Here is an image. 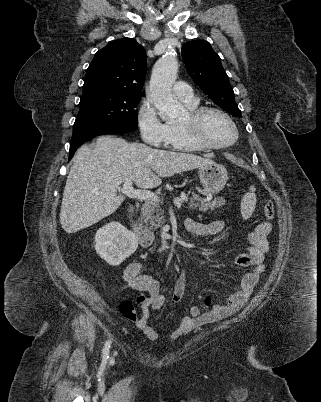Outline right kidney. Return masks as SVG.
Segmentation results:
<instances>
[{"instance_id":"obj_1","label":"right kidney","mask_w":321,"mask_h":402,"mask_svg":"<svg viewBox=\"0 0 321 402\" xmlns=\"http://www.w3.org/2000/svg\"><path fill=\"white\" fill-rule=\"evenodd\" d=\"M97 254L111 266L120 265L138 247L136 235L119 222H110L95 235Z\"/></svg>"}]
</instances>
